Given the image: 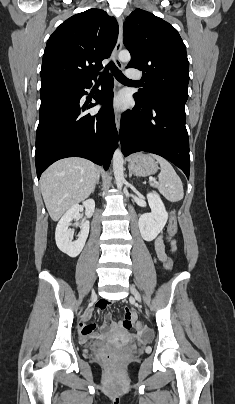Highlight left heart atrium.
Returning a JSON list of instances; mask_svg holds the SVG:
<instances>
[{"instance_id":"obj_1","label":"left heart atrium","mask_w":235,"mask_h":404,"mask_svg":"<svg viewBox=\"0 0 235 404\" xmlns=\"http://www.w3.org/2000/svg\"><path fill=\"white\" fill-rule=\"evenodd\" d=\"M113 104L117 109H124L127 105L126 97L124 95L115 97Z\"/></svg>"}]
</instances>
